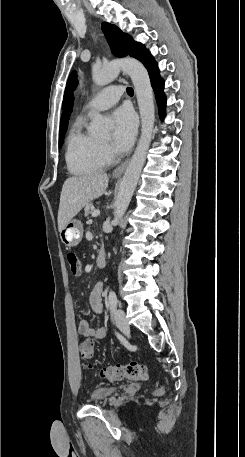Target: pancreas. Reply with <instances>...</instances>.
Segmentation results:
<instances>
[{
  "label": "pancreas",
  "mask_w": 245,
  "mask_h": 457,
  "mask_svg": "<svg viewBox=\"0 0 245 457\" xmlns=\"http://www.w3.org/2000/svg\"><path fill=\"white\" fill-rule=\"evenodd\" d=\"M96 210L93 202H87L85 208H84V216H89V214H92Z\"/></svg>",
  "instance_id": "1"
}]
</instances>
